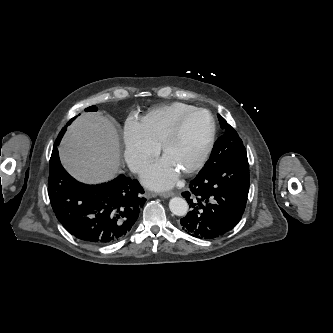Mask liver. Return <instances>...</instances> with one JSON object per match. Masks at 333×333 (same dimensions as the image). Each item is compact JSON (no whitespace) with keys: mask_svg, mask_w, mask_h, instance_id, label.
Listing matches in <instances>:
<instances>
[{"mask_svg":"<svg viewBox=\"0 0 333 333\" xmlns=\"http://www.w3.org/2000/svg\"><path fill=\"white\" fill-rule=\"evenodd\" d=\"M59 153L64 168L78 181L109 180L120 165L117 130L100 113H85L68 128Z\"/></svg>","mask_w":333,"mask_h":333,"instance_id":"6515ba94","label":"liver"}]
</instances>
